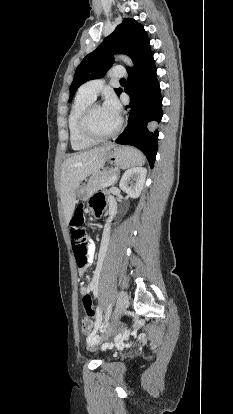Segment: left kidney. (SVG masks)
<instances>
[{
	"label": "left kidney",
	"instance_id": "left-kidney-1",
	"mask_svg": "<svg viewBox=\"0 0 233 414\" xmlns=\"http://www.w3.org/2000/svg\"><path fill=\"white\" fill-rule=\"evenodd\" d=\"M146 173L147 170L144 167H133L131 169H128L123 174L119 183V187L129 197L138 198L145 183ZM131 178L135 180V183L129 186Z\"/></svg>",
	"mask_w": 233,
	"mask_h": 414
}]
</instances>
